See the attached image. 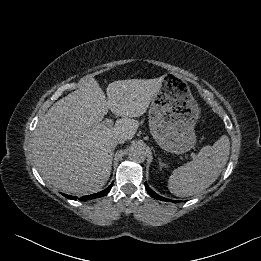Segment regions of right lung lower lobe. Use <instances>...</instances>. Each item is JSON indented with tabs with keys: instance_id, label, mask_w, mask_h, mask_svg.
<instances>
[{
	"instance_id": "98d812e1",
	"label": "right lung lower lobe",
	"mask_w": 261,
	"mask_h": 261,
	"mask_svg": "<svg viewBox=\"0 0 261 261\" xmlns=\"http://www.w3.org/2000/svg\"><path fill=\"white\" fill-rule=\"evenodd\" d=\"M112 187V184L106 188L105 190L99 192V193H95V194H92V195H88V196H83L80 198L81 201H86V200H90V199H94V198H98V197H102V196H105L111 189ZM66 198L68 199H72V200H76L77 197L76 196H69V195H66V194H63Z\"/></svg>"
}]
</instances>
